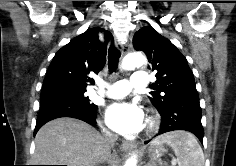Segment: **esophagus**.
Segmentation results:
<instances>
[{"instance_id": "obj_1", "label": "esophagus", "mask_w": 236, "mask_h": 166, "mask_svg": "<svg viewBox=\"0 0 236 166\" xmlns=\"http://www.w3.org/2000/svg\"><path fill=\"white\" fill-rule=\"evenodd\" d=\"M120 46H121V51H122V57H124L129 51V46L127 44H120ZM134 147H135V143L129 142V141H124L121 145V148L123 150L132 149Z\"/></svg>"}]
</instances>
